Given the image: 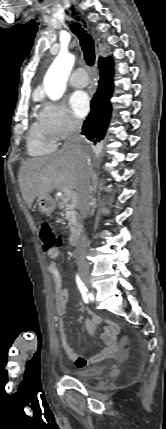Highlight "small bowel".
Instances as JSON below:
<instances>
[{"label": "small bowel", "mask_w": 166, "mask_h": 429, "mask_svg": "<svg viewBox=\"0 0 166 429\" xmlns=\"http://www.w3.org/2000/svg\"><path fill=\"white\" fill-rule=\"evenodd\" d=\"M47 254L51 259H56L59 256V249H52L48 251ZM48 270L52 278V290L55 300V312L59 317L58 329L61 345L66 356L74 362L76 367L85 368L104 359L113 356L123 355L124 349L122 345H119L117 343V325L111 321H105L106 326L100 335L104 347L97 353L90 356H84L78 354L75 349L68 344L65 325L61 317L66 312V302L70 296V290L69 287L63 283L60 271L55 262H51L49 264ZM103 321L104 320L99 315L89 311V316L85 320V327L90 333H93L97 329L98 325L101 324Z\"/></svg>", "instance_id": "obj_1"}]
</instances>
